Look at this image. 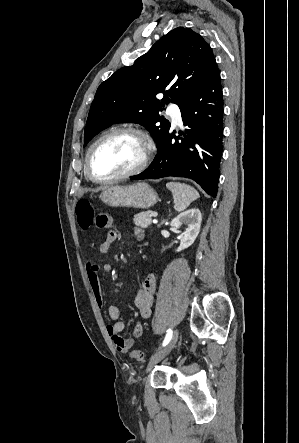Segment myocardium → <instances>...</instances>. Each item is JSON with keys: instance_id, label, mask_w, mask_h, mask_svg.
Instances as JSON below:
<instances>
[{"instance_id": "myocardium-1", "label": "myocardium", "mask_w": 299, "mask_h": 443, "mask_svg": "<svg viewBox=\"0 0 299 443\" xmlns=\"http://www.w3.org/2000/svg\"><path fill=\"white\" fill-rule=\"evenodd\" d=\"M119 134H132V135H135L139 138V140L141 141L142 146H143V155H142L140 162L136 166L131 168L130 170H128L124 173H121L119 175H116V176H113L110 178L96 177L95 174L93 173L92 165H91V160H92V156H93L95 149L104 140H106L110 137H113L115 135H119ZM152 153H153V143L144 131H142L141 129L136 128V127L117 128V129L111 130V131L103 134L102 136H100L90 146V148L88 149L87 155H86V172H87V175L90 178V180H92L93 182L98 183V184H111L114 182H118L120 180H123V179L129 178L131 176H134L136 174H139L143 170H145L150 162V159L152 157Z\"/></svg>"}]
</instances>
